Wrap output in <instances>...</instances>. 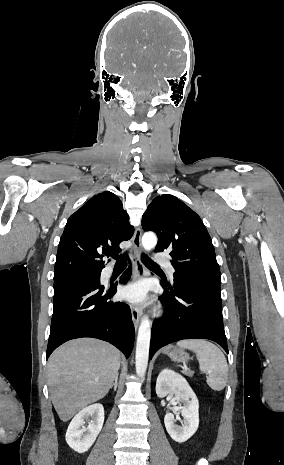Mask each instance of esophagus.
<instances>
[{"label": "esophagus", "instance_id": "1", "mask_svg": "<svg viewBox=\"0 0 284 465\" xmlns=\"http://www.w3.org/2000/svg\"><path fill=\"white\" fill-rule=\"evenodd\" d=\"M141 235L142 231L140 227H137L133 237V252H132V262H133V279H139L145 275V266L141 261V252L143 251L141 245ZM132 320L137 330L139 321L142 315V307L138 305H131Z\"/></svg>", "mask_w": 284, "mask_h": 465}]
</instances>
